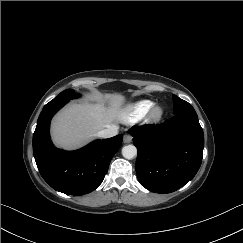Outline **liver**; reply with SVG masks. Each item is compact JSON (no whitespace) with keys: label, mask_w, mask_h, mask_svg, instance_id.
<instances>
[{"label":"liver","mask_w":243,"mask_h":243,"mask_svg":"<svg viewBox=\"0 0 243 243\" xmlns=\"http://www.w3.org/2000/svg\"><path fill=\"white\" fill-rule=\"evenodd\" d=\"M93 102L71 103L53 119L51 135L56 146L75 149L87 143L98 132L115 126L122 114L124 97L120 94H97Z\"/></svg>","instance_id":"6515ba94"}]
</instances>
